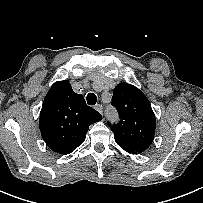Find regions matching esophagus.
Wrapping results in <instances>:
<instances>
[{
	"mask_svg": "<svg viewBox=\"0 0 203 203\" xmlns=\"http://www.w3.org/2000/svg\"><path fill=\"white\" fill-rule=\"evenodd\" d=\"M95 109L101 114L103 115V106L101 104H97L95 106Z\"/></svg>",
	"mask_w": 203,
	"mask_h": 203,
	"instance_id": "esophagus-1",
	"label": "esophagus"
}]
</instances>
